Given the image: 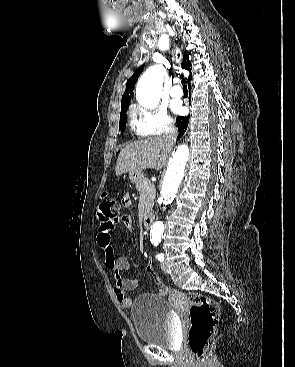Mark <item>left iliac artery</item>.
<instances>
[{
    "instance_id": "44dca946",
    "label": "left iliac artery",
    "mask_w": 295,
    "mask_h": 367,
    "mask_svg": "<svg viewBox=\"0 0 295 367\" xmlns=\"http://www.w3.org/2000/svg\"><path fill=\"white\" fill-rule=\"evenodd\" d=\"M156 258L159 260V261H164V254L163 253H159V254H157V256H156Z\"/></svg>"
}]
</instances>
